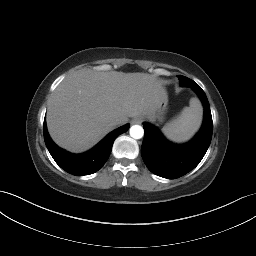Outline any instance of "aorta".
<instances>
[{"instance_id": "aorta-1", "label": "aorta", "mask_w": 256, "mask_h": 256, "mask_svg": "<svg viewBox=\"0 0 256 256\" xmlns=\"http://www.w3.org/2000/svg\"><path fill=\"white\" fill-rule=\"evenodd\" d=\"M130 136L134 139H141L144 135V129L140 125H133L130 128Z\"/></svg>"}]
</instances>
